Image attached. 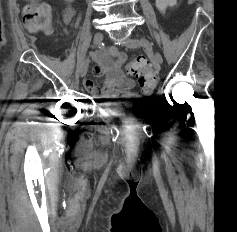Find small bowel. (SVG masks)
<instances>
[{
    "instance_id": "c3829d8e",
    "label": "small bowel",
    "mask_w": 237,
    "mask_h": 232,
    "mask_svg": "<svg viewBox=\"0 0 237 232\" xmlns=\"http://www.w3.org/2000/svg\"><path fill=\"white\" fill-rule=\"evenodd\" d=\"M71 17L72 10L68 8L65 13V21L69 22ZM93 57L96 65L92 73L95 76H105V81L102 87L98 88L92 79L87 78L84 80L86 90L94 97L110 100L129 95L134 81L128 78L123 71V65L127 60L126 54L113 46L107 51L94 54Z\"/></svg>"
}]
</instances>
